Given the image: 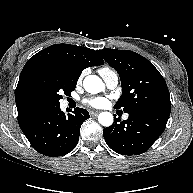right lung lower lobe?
Segmentation results:
<instances>
[{"label":"right lung lower lobe","mask_w":193,"mask_h":193,"mask_svg":"<svg viewBox=\"0 0 193 193\" xmlns=\"http://www.w3.org/2000/svg\"><path fill=\"white\" fill-rule=\"evenodd\" d=\"M70 112L65 115L60 106L53 107L21 130L39 153L50 157L62 156L77 145L81 124L89 118L85 109L76 108Z\"/></svg>","instance_id":"98d812e1"}]
</instances>
